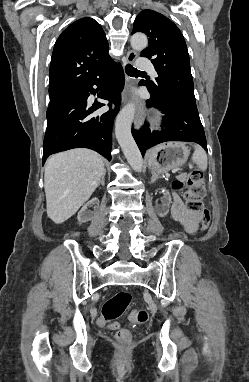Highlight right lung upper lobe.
I'll return each instance as SVG.
<instances>
[{"mask_svg": "<svg viewBox=\"0 0 249 382\" xmlns=\"http://www.w3.org/2000/svg\"><path fill=\"white\" fill-rule=\"evenodd\" d=\"M106 35L92 18L69 25L57 39L51 64L50 104L70 97L82 88L99 68L111 60Z\"/></svg>", "mask_w": 249, "mask_h": 382, "instance_id": "1", "label": "right lung upper lobe"}]
</instances>
